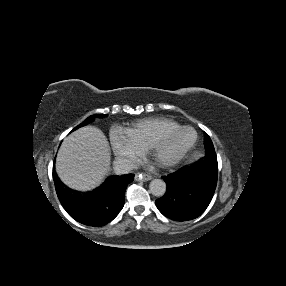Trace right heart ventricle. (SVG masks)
I'll return each instance as SVG.
<instances>
[{
  "label": "right heart ventricle",
  "mask_w": 286,
  "mask_h": 286,
  "mask_svg": "<svg viewBox=\"0 0 286 286\" xmlns=\"http://www.w3.org/2000/svg\"><path fill=\"white\" fill-rule=\"evenodd\" d=\"M181 124L164 117L138 120L127 128L129 135L145 150L159 138L179 129Z\"/></svg>",
  "instance_id": "1"
}]
</instances>
